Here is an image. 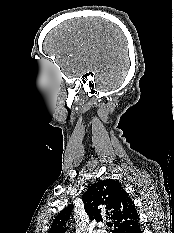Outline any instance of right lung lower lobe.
Listing matches in <instances>:
<instances>
[{
  "label": "right lung lower lobe",
  "instance_id": "right-lung-lower-lobe-1",
  "mask_svg": "<svg viewBox=\"0 0 174 233\" xmlns=\"http://www.w3.org/2000/svg\"><path fill=\"white\" fill-rule=\"evenodd\" d=\"M130 233H142L141 225H139L138 227H136L134 230L130 231Z\"/></svg>",
  "mask_w": 174,
  "mask_h": 233
}]
</instances>
